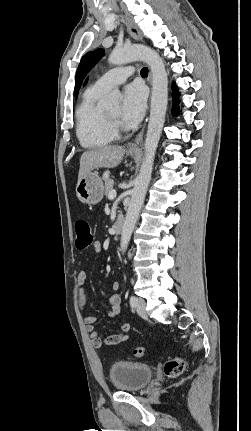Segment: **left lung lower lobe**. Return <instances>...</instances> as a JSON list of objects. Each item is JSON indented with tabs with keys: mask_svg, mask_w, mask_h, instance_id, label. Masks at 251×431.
<instances>
[{
	"mask_svg": "<svg viewBox=\"0 0 251 431\" xmlns=\"http://www.w3.org/2000/svg\"><path fill=\"white\" fill-rule=\"evenodd\" d=\"M173 89H176V88H175V85H173ZM178 96H179L178 91H177V90H176V91H174V92H173V99H174V100L178 99ZM173 114H174V115H178V114H179V108L177 107V104H174V106H173Z\"/></svg>",
	"mask_w": 251,
	"mask_h": 431,
	"instance_id": "0a47b994",
	"label": "left lung lower lobe"
}]
</instances>
